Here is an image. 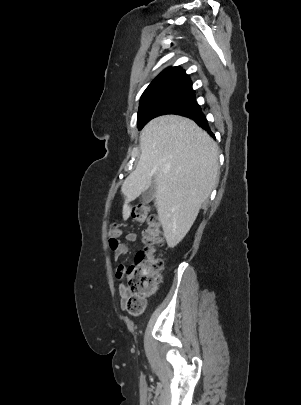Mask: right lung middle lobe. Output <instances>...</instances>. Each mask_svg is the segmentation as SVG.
<instances>
[{
	"instance_id": "dd1d6c3e",
	"label": "right lung middle lobe",
	"mask_w": 301,
	"mask_h": 405,
	"mask_svg": "<svg viewBox=\"0 0 301 405\" xmlns=\"http://www.w3.org/2000/svg\"><path fill=\"white\" fill-rule=\"evenodd\" d=\"M200 109L193 90L178 89L155 94L140 101L137 127L142 129L151 119L164 114H182Z\"/></svg>"
}]
</instances>
